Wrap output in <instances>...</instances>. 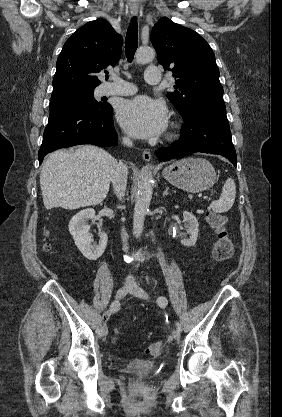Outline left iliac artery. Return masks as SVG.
<instances>
[{
    "label": "left iliac artery",
    "instance_id": "obj_1",
    "mask_svg": "<svg viewBox=\"0 0 282 417\" xmlns=\"http://www.w3.org/2000/svg\"><path fill=\"white\" fill-rule=\"evenodd\" d=\"M157 304H158L160 307H165V306L168 304V300H167V298H166V297H164V296H160V297H158V298H157ZM175 325H176L177 330H178L179 332H181V331H182L181 324H180L179 322H176V323H175Z\"/></svg>",
    "mask_w": 282,
    "mask_h": 417
}]
</instances>
